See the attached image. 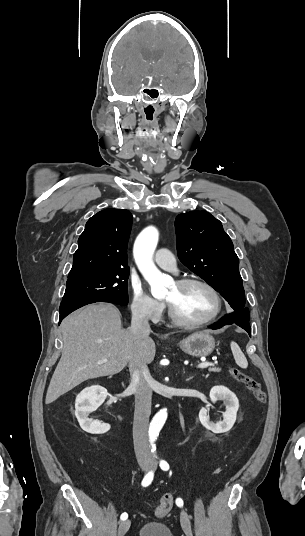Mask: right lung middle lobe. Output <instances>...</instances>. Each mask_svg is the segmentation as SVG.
<instances>
[{
	"mask_svg": "<svg viewBox=\"0 0 305 536\" xmlns=\"http://www.w3.org/2000/svg\"><path fill=\"white\" fill-rule=\"evenodd\" d=\"M129 270L92 272L67 280L62 302L98 300L118 305L128 303Z\"/></svg>",
	"mask_w": 305,
	"mask_h": 536,
	"instance_id": "obj_1",
	"label": "right lung middle lobe"
}]
</instances>
